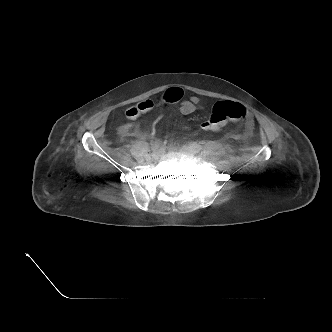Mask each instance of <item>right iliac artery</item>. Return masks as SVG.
<instances>
[{
	"label": "right iliac artery",
	"instance_id": "obj_1",
	"mask_svg": "<svg viewBox=\"0 0 332 332\" xmlns=\"http://www.w3.org/2000/svg\"><path fill=\"white\" fill-rule=\"evenodd\" d=\"M162 146L161 140H155L151 143V150L154 151Z\"/></svg>",
	"mask_w": 332,
	"mask_h": 332
}]
</instances>
